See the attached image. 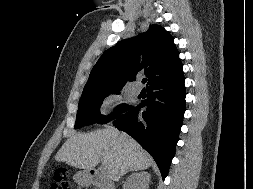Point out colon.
<instances>
[{"mask_svg":"<svg viewBox=\"0 0 253 189\" xmlns=\"http://www.w3.org/2000/svg\"><path fill=\"white\" fill-rule=\"evenodd\" d=\"M69 183L67 181V171L64 168H60L55 173V183L52 189H68Z\"/></svg>","mask_w":253,"mask_h":189,"instance_id":"5ec220e1","label":"colon"}]
</instances>
